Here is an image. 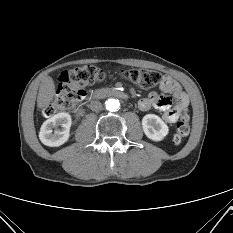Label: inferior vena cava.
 Wrapping results in <instances>:
<instances>
[{"label":"inferior vena cava","instance_id":"inferior-vena-cava-1","mask_svg":"<svg viewBox=\"0 0 233 233\" xmlns=\"http://www.w3.org/2000/svg\"><path fill=\"white\" fill-rule=\"evenodd\" d=\"M89 107L92 111H99L102 109V104L100 101L93 100L90 102Z\"/></svg>","mask_w":233,"mask_h":233}]
</instances>
